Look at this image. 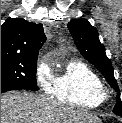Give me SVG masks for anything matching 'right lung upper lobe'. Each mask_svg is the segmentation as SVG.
<instances>
[{"instance_id":"cb5924a9","label":"right lung upper lobe","mask_w":122,"mask_h":123,"mask_svg":"<svg viewBox=\"0 0 122 123\" xmlns=\"http://www.w3.org/2000/svg\"><path fill=\"white\" fill-rule=\"evenodd\" d=\"M45 41L42 24L8 18L1 25V55L38 56Z\"/></svg>"}]
</instances>
